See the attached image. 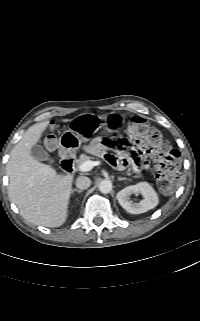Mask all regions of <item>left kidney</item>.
<instances>
[{"instance_id": "left-kidney-1", "label": "left kidney", "mask_w": 200, "mask_h": 321, "mask_svg": "<svg viewBox=\"0 0 200 321\" xmlns=\"http://www.w3.org/2000/svg\"><path fill=\"white\" fill-rule=\"evenodd\" d=\"M132 194H141L143 199L133 202L130 198ZM119 204L129 213L141 214L156 207L159 203L157 193L147 182H140L136 185L127 186L117 194Z\"/></svg>"}]
</instances>
